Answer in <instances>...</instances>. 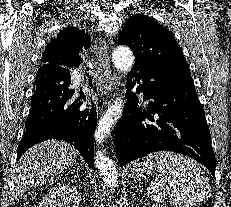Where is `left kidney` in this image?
I'll use <instances>...</instances> for the list:
<instances>
[{
  "label": "left kidney",
  "instance_id": "obj_1",
  "mask_svg": "<svg viewBox=\"0 0 231 207\" xmlns=\"http://www.w3.org/2000/svg\"><path fill=\"white\" fill-rule=\"evenodd\" d=\"M152 207H163V206L156 203V204L152 205Z\"/></svg>",
  "mask_w": 231,
  "mask_h": 207
}]
</instances>
